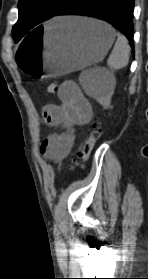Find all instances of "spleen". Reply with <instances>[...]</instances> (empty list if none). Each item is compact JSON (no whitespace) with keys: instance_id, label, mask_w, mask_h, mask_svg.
Wrapping results in <instances>:
<instances>
[{"instance_id":"spleen-1","label":"spleen","mask_w":148,"mask_h":279,"mask_svg":"<svg viewBox=\"0 0 148 279\" xmlns=\"http://www.w3.org/2000/svg\"><path fill=\"white\" fill-rule=\"evenodd\" d=\"M117 41L108 58V65L111 69L118 70L127 66L129 62L130 46L127 38L117 33ZM94 70L83 71L79 81L82 87L90 96L98 97L106 95L112 88V84L104 83L94 76Z\"/></svg>"}]
</instances>
